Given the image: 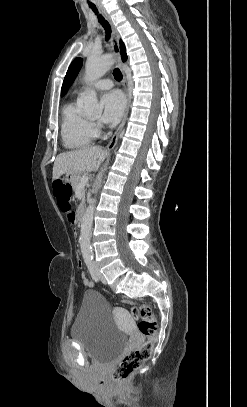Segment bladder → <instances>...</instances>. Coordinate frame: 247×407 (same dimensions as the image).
<instances>
[{"label": "bladder", "instance_id": "obj_1", "mask_svg": "<svg viewBox=\"0 0 247 407\" xmlns=\"http://www.w3.org/2000/svg\"><path fill=\"white\" fill-rule=\"evenodd\" d=\"M70 335L93 360L99 362L115 358L129 339L128 333L114 321L113 307L93 290L84 292Z\"/></svg>", "mask_w": 247, "mask_h": 407}]
</instances>
